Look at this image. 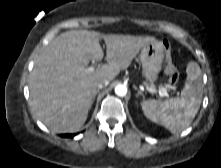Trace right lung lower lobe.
Here are the masks:
<instances>
[{"label": "right lung lower lobe", "mask_w": 221, "mask_h": 168, "mask_svg": "<svg viewBox=\"0 0 221 168\" xmlns=\"http://www.w3.org/2000/svg\"><path fill=\"white\" fill-rule=\"evenodd\" d=\"M64 137H73L74 136V134H65V135H63Z\"/></svg>", "instance_id": "obj_1"}]
</instances>
